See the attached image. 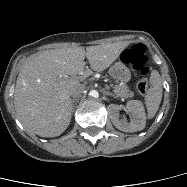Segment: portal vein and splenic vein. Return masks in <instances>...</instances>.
<instances>
[{"label": "portal vein and splenic vein", "instance_id": "obj_1", "mask_svg": "<svg viewBox=\"0 0 187 187\" xmlns=\"http://www.w3.org/2000/svg\"><path fill=\"white\" fill-rule=\"evenodd\" d=\"M67 76L66 75H60V78H66Z\"/></svg>", "mask_w": 187, "mask_h": 187}]
</instances>
